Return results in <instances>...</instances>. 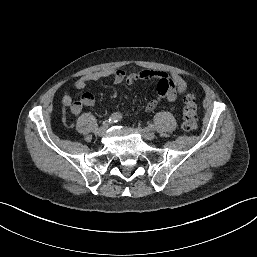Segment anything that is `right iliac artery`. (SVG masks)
I'll return each mask as SVG.
<instances>
[{
    "mask_svg": "<svg viewBox=\"0 0 257 257\" xmlns=\"http://www.w3.org/2000/svg\"><path fill=\"white\" fill-rule=\"evenodd\" d=\"M122 119V114L119 112L113 113L107 122H109L110 124L116 123L118 121H120Z\"/></svg>",
    "mask_w": 257,
    "mask_h": 257,
    "instance_id": "obj_1",
    "label": "right iliac artery"
}]
</instances>
